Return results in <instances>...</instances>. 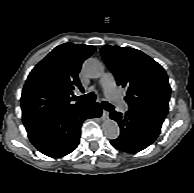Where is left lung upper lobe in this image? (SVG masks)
<instances>
[{
	"label": "left lung upper lobe",
	"mask_w": 194,
	"mask_h": 193,
	"mask_svg": "<svg viewBox=\"0 0 194 193\" xmlns=\"http://www.w3.org/2000/svg\"><path fill=\"white\" fill-rule=\"evenodd\" d=\"M101 54L117 84L127 87L129 110L164 121L171 88L163 67L134 48L104 46Z\"/></svg>",
	"instance_id": "5c2ea615"
}]
</instances>
